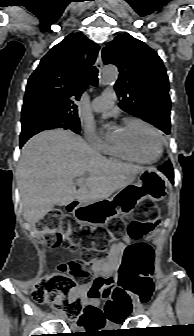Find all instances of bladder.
Wrapping results in <instances>:
<instances>
[{
  "instance_id": "31cf9c89",
  "label": "bladder",
  "mask_w": 194,
  "mask_h": 336,
  "mask_svg": "<svg viewBox=\"0 0 194 336\" xmlns=\"http://www.w3.org/2000/svg\"><path fill=\"white\" fill-rule=\"evenodd\" d=\"M84 327H85L84 324H77V325L75 326L76 329H83Z\"/></svg>"
}]
</instances>
